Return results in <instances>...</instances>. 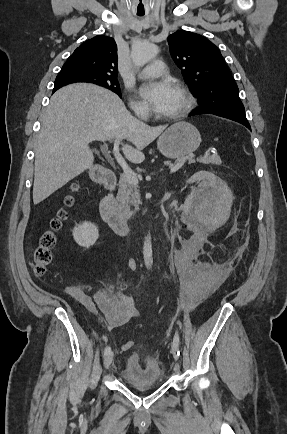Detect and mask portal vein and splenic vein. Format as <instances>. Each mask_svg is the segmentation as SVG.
Returning a JSON list of instances; mask_svg holds the SVG:
<instances>
[{"instance_id": "1", "label": "portal vein and splenic vein", "mask_w": 287, "mask_h": 434, "mask_svg": "<svg viewBox=\"0 0 287 434\" xmlns=\"http://www.w3.org/2000/svg\"><path fill=\"white\" fill-rule=\"evenodd\" d=\"M119 144L120 141L115 140L114 142V148H113V155L116 159V161L118 162V164L121 166V168L123 169L124 175L126 177V179L133 184H138V178L137 175L132 171V169L128 166V164L126 163L125 159L122 157V155L119 152ZM185 159L177 162L174 166L170 167V173H175L176 171H178L185 163Z\"/></svg>"}]
</instances>
